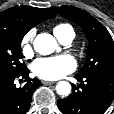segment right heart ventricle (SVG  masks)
<instances>
[{
    "label": "right heart ventricle",
    "instance_id": "e07e8e85",
    "mask_svg": "<svg viewBox=\"0 0 114 114\" xmlns=\"http://www.w3.org/2000/svg\"><path fill=\"white\" fill-rule=\"evenodd\" d=\"M54 34L56 37L61 41L63 38H65L68 34L74 33L73 28L66 23H60L57 24L54 29Z\"/></svg>",
    "mask_w": 114,
    "mask_h": 114
}]
</instances>
